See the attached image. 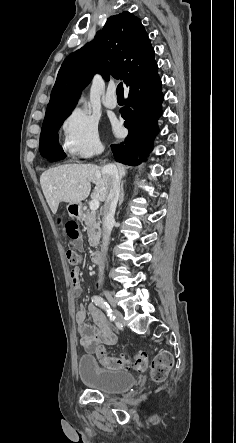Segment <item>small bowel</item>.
Returning <instances> with one entry per match:
<instances>
[{
  "label": "small bowel",
  "instance_id": "obj_1",
  "mask_svg": "<svg viewBox=\"0 0 236 443\" xmlns=\"http://www.w3.org/2000/svg\"><path fill=\"white\" fill-rule=\"evenodd\" d=\"M76 247L79 250L83 249V243L81 239L76 241ZM78 281L73 283V294L79 296L82 293V288L79 281L78 270L75 269ZM72 280V279H71ZM100 284H97V289L100 288ZM87 312L90 314L94 324L97 328L87 325L85 322ZM76 323L81 336V345L89 352H94L99 342H104L107 345H113L116 342V335L112 330L109 318L100 311L95 305L91 304L86 308L84 305H80L76 313Z\"/></svg>",
  "mask_w": 236,
  "mask_h": 443
}]
</instances>
